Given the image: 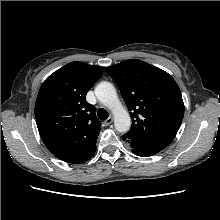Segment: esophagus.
I'll return each instance as SVG.
<instances>
[{
    "label": "esophagus",
    "mask_w": 220,
    "mask_h": 220,
    "mask_svg": "<svg viewBox=\"0 0 220 220\" xmlns=\"http://www.w3.org/2000/svg\"><path fill=\"white\" fill-rule=\"evenodd\" d=\"M112 122H113V117L110 116L108 119H106V120L104 121V125H105V126H108V125H110Z\"/></svg>",
    "instance_id": "obj_1"
}]
</instances>
